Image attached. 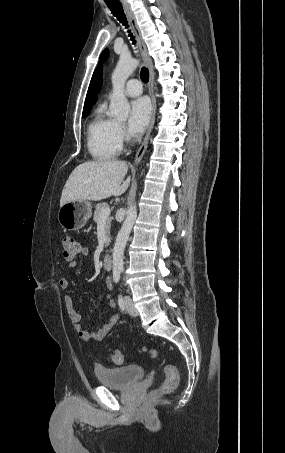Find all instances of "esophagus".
Wrapping results in <instances>:
<instances>
[{
    "label": "esophagus",
    "mask_w": 285,
    "mask_h": 453,
    "mask_svg": "<svg viewBox=\"0 0 285 453\" xmlns=\"http://www.w3.org/2000/svg\"><path fill=\"white\" fill-rule=\"evenodd\" d=\"M122 3H123V6H124V9L127 13V16L130 20V23L132 25V28L135 32V35H136V38H137V42H138V46H139V50H140V53H141V56L143 58V61L145 63V65L147 66L148 70H149V83H148V91H149V95L151 97V101H152V112H151V119H150V124H149V127H148V130H147V133L143 139V142L141 144V146L139 147L137 153H136V156H135V160H134V164L135 165H138L140 163V161L142 160L144 154H145V151L147 149V146H148V142H149V138H150V135H151V132H152V129H153V126H154V123H155V115H156V98H155V95H154V70H153V65H152V60L148 54V51H147V48H146V45L144 43V40H143V37H142V34H141V31L136 23V20H135V17L129 7V5L127 4V2L125 0H122Z\"/></svg>",
    "instance_id": "34e87169"
}]
</instances>
